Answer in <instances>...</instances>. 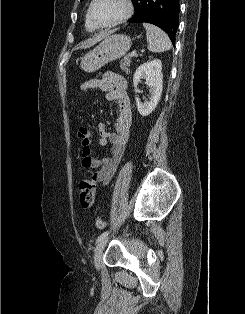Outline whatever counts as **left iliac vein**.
Segmentation results:
<instances>
[{"instance_id":"4c4485c4","label":"left iliac vein","mask_w":245,"mask_h":314,"mask_svg":"<svg viewBox=\"0 0 245 314\" xmlns=\"http://www.w3.org/2000/svg\"><path fill=\"white\" fill-rule=\"evenodd\" d=\"M108 241H109V237L106 236L103 239H101L96 245L95 253H94V264L97 269H99L101 266L102 252L106 244L108 243Z\"/></svg>"}]
</instances>
